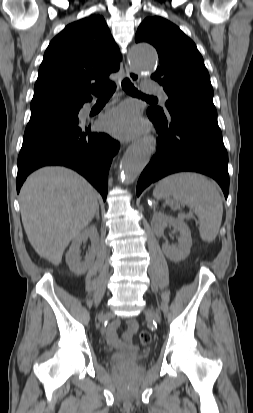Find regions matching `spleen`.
<instances>
[{"mask_svg":"<svg viewBox=\"0 0 253 413\" xmlns=\"http://www.w3.org/2000/svg\"><path fill=\"white\" fill-rule=\"evenodd\" d=\"M155 198L173 197L186 204L199 219L202 240L212 242L220 229L223 203L217 186L205 176L193 172L172 174L154 188Z\"/></svg>","mask_w":253,"mask_h":413,"instance_id":"obj_1","label":"spleen"}]
</instances>
